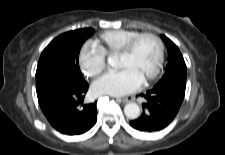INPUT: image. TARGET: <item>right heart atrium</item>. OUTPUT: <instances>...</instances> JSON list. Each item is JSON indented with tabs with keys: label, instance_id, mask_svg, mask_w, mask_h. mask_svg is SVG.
<instances>
[{
	"label": "right heart atrium",
	"instance_id": "1",
	"mask_svg": "<svg viewBox=\"0 0 225 155\" xmlns=\"http://www.w3.org/2000/svg\"><path fill=\"white\" fill-rule=\"evenodd\" d=\"M79 66L85 76L95 77L105 68V56L94 46L86 44L79 54Z\"/></svg>",
	"mask_w": 225,
	"mask_h": 155
}]
</instances>
